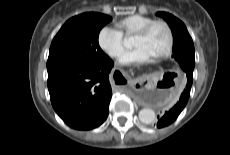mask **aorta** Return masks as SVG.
<instances>
[{
	"instance_id": "762f6f07",
	"label": "aorta",
	"mask_w": 230,
	"mask_h": 155,
	"mask_svg": "<svg viewBox=\"0 0 230 155\" xmlns=\"http://www.w3.org/2000/svg\"><path fill=\"white\" fill-rule=\"evenodd\" d=\"M139 120L144 124H152L155 122L156 114L151 108H143L139 111Z\"/></svg>"
}]
</instances>
